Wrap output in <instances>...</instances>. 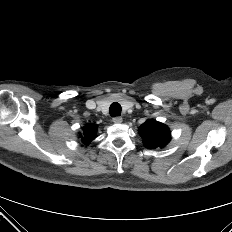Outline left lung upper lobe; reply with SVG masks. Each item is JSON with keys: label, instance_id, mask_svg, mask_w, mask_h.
<instances>
[{"label": "left lung upper lobe", "instance_id": "5c2ea615", "mask_svg": "<svg viewBox=\"0 0 232 232\" xmlns=\"http://www.w3.org/2000/svg\"><path fill=\"white\" fill-rule=\"evenodd\" d=\"M144 146L148 149L162 148L171 139L169 128L163 123L147 120L139 128Z\"/></svg>", "mask_w": 232, "mask_h": 232}]
</instances>
